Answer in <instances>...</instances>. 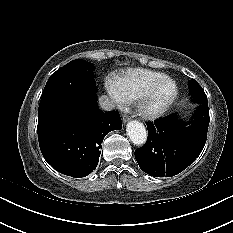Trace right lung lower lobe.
Listing matches in <instances>:
<instances>
[{"label":"right lung lower lobe","mask_w":233,"mask_h":233,"mask_svg":"<svg viewBox=\"0 0 233 233\" xmlns=\"http://www.w3.org/2000/svg\"><path fill=\"white\" fill-rule=\"evenodd\" d=\"M70 113L38 120V141L45 160L58 172L76 178L97 167L101 143L112 130L122 128L117 111L98 109L94 91L81 89Z\"/></svg>","instance_id":"98d812e1"}]
</instances>
